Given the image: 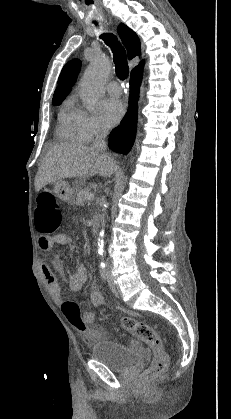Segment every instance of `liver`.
<instances>
[{"label":"liver","mask_w":231,"mask_h":419,"mask_svg":"<svg viewBox=\"0 0 231 419\" xmlns=\"http://www.w3.org/2000/svg\"><path fill=\"white\" fill-rule=\"evenodd\" d=\"M114 169V160L92 147L66 142L56 144L47 152L38 168L35 190L39 192L46 185L65 178L107 177Z\"/></svg>","instance_id":"6515ba94"}]
</instances>
